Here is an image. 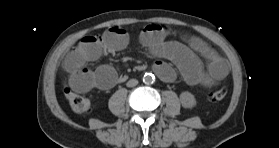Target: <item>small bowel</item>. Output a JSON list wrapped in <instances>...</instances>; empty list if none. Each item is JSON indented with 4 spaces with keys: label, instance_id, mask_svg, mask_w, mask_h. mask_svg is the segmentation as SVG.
<instances>
[{
    "label": "small bowel",
    "instance_id": "c3829d8e",
    "mask_svg": "<svg viewBox=\"0 0 279 148\" xmlns=\"http://www.w3.org/2000/svg\"><path fill=\"white\" fill-rule=\"evenodd\" d=\"M169 35L166 27L149 24L142 29L139 37L142 47L158 58L153 68L163 81L171 82L176 75L162 59L171 61L184 80L193 86H213L227 76L225 60L202 39L185 35L184 42H179L167 40ZM128 42V33L118 26L110 27L100 35L83 37L63 59L70 87L77 92H87L93 88L110 90L116 86L121 77L112 66L102 65L92 71L86 65L103 54H114L124 49Z\"/></svg>",
    "mask_w": 279,
    "mask_h": 148
}]
</instances>
